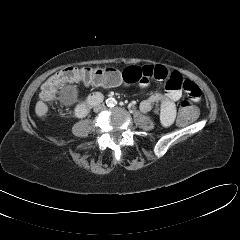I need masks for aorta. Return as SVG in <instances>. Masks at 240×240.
I'll use <instances>...</instances> for the list:
<instances>
[{"instance_id":"aorta-1","label":"aorta","mask_w":240,"mask_h":240,"mask_svg":"<svg viewBox=\"0 0 240 240\" xmlns=\"http://www.w3.org/2000/svg\"><path fill=\"white\" fill-rule=\"evenodd\" d=\"M106 104H107L108 106L113 105V104H114L113 99H107Z\"/></svg>"}]
</instances>
